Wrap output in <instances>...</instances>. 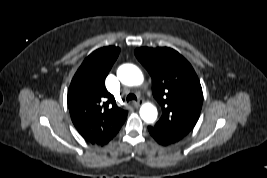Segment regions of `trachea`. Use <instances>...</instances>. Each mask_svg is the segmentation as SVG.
I'll return each instance as SVG.
<instances>
[{
  "instance_id": "3493384b",
  "label": "trachea",
  "mask_w": 267,
  "mask_h": 178,
  "mask_svg": "<svg viewBox=\"0 0 267 178\" xmlns=\"http://www.w3.org/2000/svg\"><path fill=\"white\" fill-rule=\"evenodd\" d=\"M127 102L129 101H137V97L134 94H129L126 98Z\"/></svg>"
}]
</instances>
